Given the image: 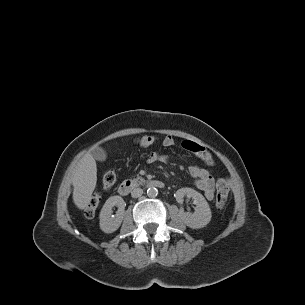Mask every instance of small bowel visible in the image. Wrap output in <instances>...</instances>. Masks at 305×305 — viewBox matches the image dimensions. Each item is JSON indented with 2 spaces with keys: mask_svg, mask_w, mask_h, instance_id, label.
<instances>
[{
  "mask_svg": "<svg viewBox=\"0 0 305 305\" xmlns=\"http://www.w3.org/2000/svg\"><path fill=\"white\" fill-rule=\"evenodd\" d=\"M162 144L164 147L167 148L172 147L175 144V139L173 136L167 135L163 139ZM181 145L186 151H189L194 155H196L198 158H200L209 168L213 165L212 155L204 147L190 140L183 141ZM167 161H168L167 155L159 154L157 152L150 153L147 158L148 163H155V162L165 163ZM209 168L191 166L189 168V173L192 176V178L195 180V186L200 191L203 192L207 200L211 201L214 198L215 180Z\"/></svg>",
  "mask_w": 305,
  "mask_h": 305,
  "instance_id": "1",
  "label": "small bowel"
}]
</instances>
